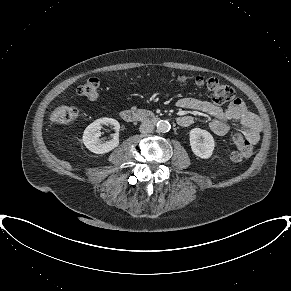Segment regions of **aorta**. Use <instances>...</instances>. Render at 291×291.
<instances>
[{"mask_svg": "<svg viewBox=\"0 0 291 291\" xmlns=\"http://www.w3.org/2000/svg\"><path fill=\"white\" fill-rule=\"evenodd\" d=\"M156 126H157V130L159 132H162V133L168 132L170 130V128H171L170 123L168 121H166V120L158 121Z\"/></svg>", "mask_w": 291, "mask_h": 291, "instance_id": "1", "label": "aorta"}]
</instances>
